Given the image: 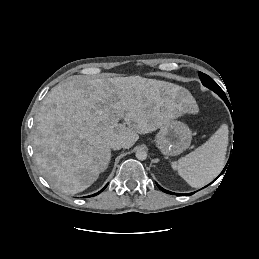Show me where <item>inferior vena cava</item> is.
<instances>
[{"label":"inferior vena cava","instance_id":"602c4592","mask_svg":"<svg viewBox=\"0 0 259 259\" xmlns=\"http://www.w3.org/2000/svg\"><path fill=\"white\" fill-rule=\"evenodd\" d=\"M110 147L114 150H119L123 147V142L120 139H114L110 142Z\"/></svg>","mask_w":259,"mask_h":259}]
</instances>
